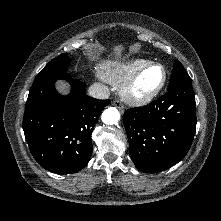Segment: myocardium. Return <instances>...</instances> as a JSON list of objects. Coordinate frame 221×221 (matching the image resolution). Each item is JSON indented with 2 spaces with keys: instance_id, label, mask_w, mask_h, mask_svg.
<instances>
[{
  "instance_id": "obj_1",
  "label": "myocardium",
  "mask_w": 221,
  "mask_h": 221,
  "mask_svg": "<svg viewBox=\"0 0 221 221\" xmlns=\"http://www.w3.org/2000/svg\"><path fill=\"white\" fill-rule=\"evenodd\" d=\"M153 67H158L162 71V77L159 84L151 89L140 88L139 82L143 77L144 73ZM166 82L167 72L165 67L159 63L150 62L138 71H136L130 77V79L124 83V86L122 88V97L126 102L134 105L149 103L159 95V93L164 88Z\"/></svg>"
}]
</instances>
